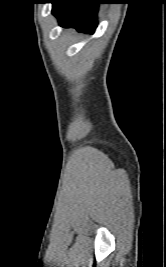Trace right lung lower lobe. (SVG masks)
Instances as JSON below:
<instances>
[{
	"instance_id": "right-lung-lower-lobe-1",
	"label": "right lung lower lobe",
	"mask_w": 166,
	"mask_h": 267,
	"mask_svg": "<svg viewBox=\"0 0 166 267\" xmlns=\"http://www.w3.org/2000/svg\"><path fill=\"white\" fill-rule=\"evenodd\" d=\"M96 0H57L53 2L52 13L62 27H73L79 32L93 34L97 26Z\"/></svg>"
}]
</instances>
